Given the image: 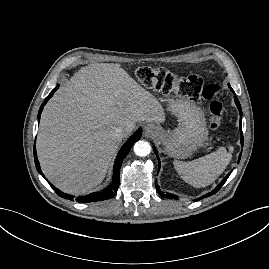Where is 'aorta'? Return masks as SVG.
<instances>
[{"label": "aorta", "instance_id": "aorta-1", "mask_svg": "<svg viewBox=\"0 0 269 269\" xmlns=\"http://www.w3.org/2000/svg\"><path fill=\"white\" fill-rule=\"evenodd\" d=\"M151 152L150 143L144 140H139L134 144V153L137 156L144 157Z\"/></svg>", "mask_w": 269, "mask_h": 269}]
</instances>
